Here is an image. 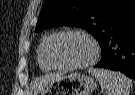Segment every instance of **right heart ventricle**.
I'll return each instance as SVG.
<instances>
[{
	"label": "right heart ventricle",
	"instance_id": "e07e8e85",
	"mask_svg": "<svg viewBox=\"0 0 135 95\" xmlns=\"http://www.w3.org/2000/svg\"><path fill=\"white\" fill-rule=\"evenodd\" d=\"M54 34L55 33H50V34H47L46 36H44V38L42 39V41L39 44L38 49H37L38 65H39L40 69L44 72H48V71H51L54 69L53 67H51L49 65V63L47 62V59H46V48H47V45H48L50 39L52 38V36Z\"/></svg>",
	"mask_w": 135,
	"mask_h": 95
}]
</instances>
